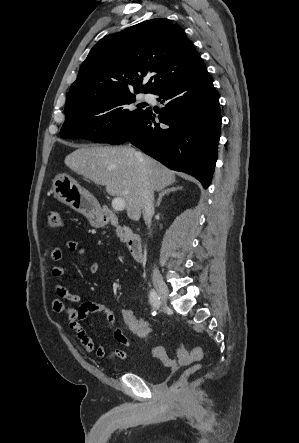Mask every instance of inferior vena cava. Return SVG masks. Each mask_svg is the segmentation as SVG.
Segmentation results:
<instances>
[{
    "instance_id": "1",
    "label": "inferior vena cava",
    "mask_w": 299,
    "mask_h": 443,
    "mask_svg": "<svg viewBox=\"0 0 299 443\" xmlns=\"http://www.w3.org/2000/svg\"><path fill=\"white\" fill-rule=\"evenodd\" d=\"M138 159L142 160V154L140 152L136 153ZM141 205H142V213L145 224L150 228L151 226V218L154 213V188L146 174V170L142 168V190H141ZM153 276L159 277L160 273L157 268L153 270Z\"/></svg>"
}]
</instances>
